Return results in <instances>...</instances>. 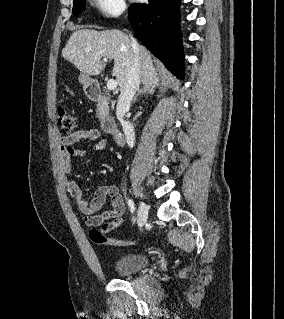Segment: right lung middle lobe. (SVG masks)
<instances>
[{
	"instance_id": "dd1d6c3e",
	"label": "right lung middle lobe",
	"mask_w": 284,
	"mask_h": 319,
	"mask_svg": "<svg viewBox=\"0 0 284 319\" xmlns=\"http://www.w3.org/2000/svg\"><path fill=\"white\" fill-rule=\"evenodd\" d=\"M85 9L84 0H74L73 13L78 14Z\"/></svg>"
}]
</instances>
